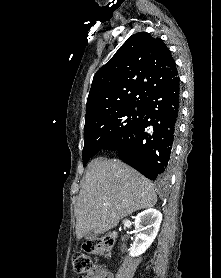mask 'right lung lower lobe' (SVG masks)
Segmentation results:
<instances>
[{
    "label": "right lung lower lobe",
    "mask_w": 221,
    "mask_h": 278,
    "mask_svg": "<svg viewBox=\"0 0 221 278\" xmlns=\"http://www.w3.org/2000/svg\"><path fill=\"white\" fill-rule=\"evenodd\" d=\"M141 122L120 141L103 149L117 150L122 161L151 180L163 181L170 171L180 113L179 77L152 91L144 101Z\"/></svg>",
    "instance_id": "1"
}]
</instances>
